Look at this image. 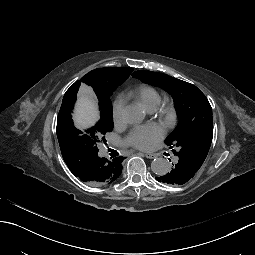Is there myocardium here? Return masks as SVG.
<instances>
[{
  "label": "myocardium",
  "mask_w": 255,
  "mask_h": 255,
  "mask_svg": "<svg viewBox=\"0 0 255 255\" xmlns=\"http://www.w3.org/2000/svg\"><path fill=\"white\" fill-rule=\"evenodd\" d=\"M159 110H160V111H163L164 113L167 114V110H166V109L160 107ZM167 122H168V116L165 117V123H167Z\"/></svg>",
  "instance_id": "f54148a6"
}]
</instances>
